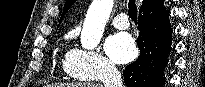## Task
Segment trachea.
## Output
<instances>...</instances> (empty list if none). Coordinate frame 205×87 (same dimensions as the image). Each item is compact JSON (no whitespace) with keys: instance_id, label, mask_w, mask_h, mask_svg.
<instances>
[{"instance_id":"3493384b","label":"trachea","mask_w":205,"mask_h":87,"mask_svg":"<svg viewBox=\"0 0 205 87\" xmlns=\"http://www.w3.org/2000/svg\"><path fill=\"white\" fill-rule=\"evenodd\" d=\"M128 15L133 21L137 22V7L134 0H129Z\"/></svg>"}]
</instances>
